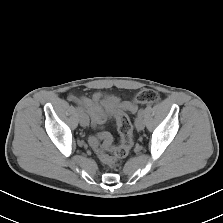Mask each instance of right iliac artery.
I'll return each instance as SVG.
<instances>
[{"instance_id":"82829eb1","label":"right iliac artery","mask_w":223,"mask_h":223,"mask_svg":"<svg viewBox=\"0 0 223 223\" xmlns=\"http://www.w3.org/2000/svg\"><path fill=\"white\" fill-rule=\"evenodd\" d=\"M77 110L79 111V113L83 111L82 107H80V106L77 107Z\"/></svg>"}]
</instances>
